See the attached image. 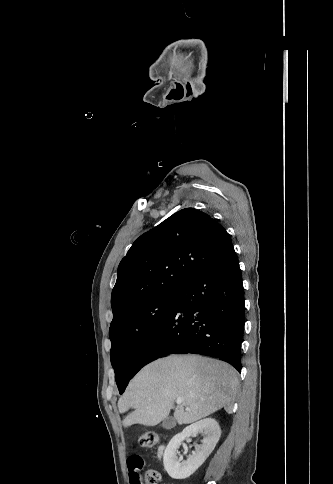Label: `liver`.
<instances>
[{
  "instance_id": "liver-1",
  "label": "liver",
  "mask_w": 333,
  "mask_h": 484,
  "mask_svg": "<svg viewBox=\"0 0 333 484\" xmlns=\"http://www.w3.org/2000/svg\"><path fill=\"white\" fill-rule=\"evenodd\" d=\"M237 371L229 364L202 356H169L145 366L118 401L120 413L135 411L123 420L155 426L171 409L178 424H190L224 408L233 411ZM182 398L176 407L174 402Z\"/></svg>"
}]
</instances>
